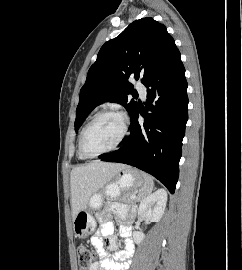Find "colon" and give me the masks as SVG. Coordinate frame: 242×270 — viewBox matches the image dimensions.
<instances>
[{
	"instance_id": "1",
	"label": "colon",
	"mask_w": 242,
	"mask_h": 270,
	"mask_svg": "<svg viewBox=\"0 0 242 270\" xmlns=\"http://www.w3.org/2000/svg\"><path fill=\"white\" fill-rule=\"evenodd\" d=\"M97 253L89 245L81 244L77 247V258L80 270H87L95 262Z\"/></svg>"
}]
</instances>
